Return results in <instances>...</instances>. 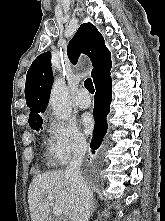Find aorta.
I'll return each instance as SVG.
<instances>
[{"instance_id":"762f6f07","label":"aorta","mask_w":165,"mask_h":221,"mask_svg":"<svg viewBox=\"0 0 165 221\" xmlns=\"http://www.w3.org/2000/svg\"><path fill=\"white\" fill-rule=\"evenodd\" d=\"M50 104L54 115L62 120H66L71 114V105L67 87L62 79H57L50 93Z\"/></svg>"}]
</instances>
